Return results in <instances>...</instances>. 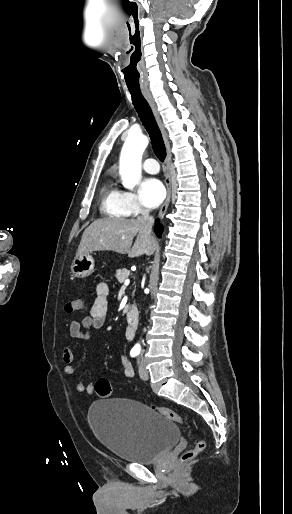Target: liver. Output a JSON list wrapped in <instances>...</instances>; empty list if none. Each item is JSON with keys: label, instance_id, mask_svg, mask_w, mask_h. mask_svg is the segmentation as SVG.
Masks as SVG:
<instances>
[{"label": "liver", "instance_id": "6515ba94", "mask_svg": "<svg viewBox=\"0 0 292 514\" xmlns=\"http://www.w3.org/2000/svg\"><path fill=\"white\" fill-rule=\"evenodd\" d=\"M138 234L133 248L132 240ZM112 250L118 254H128V258H137L142 254H152L155 250V238L147 236L142 218L125 220V218H101L86 228L78 246L76 256Z\"/></svg>", "mask_w": 292, "mask_h": 514}]
</instances>
